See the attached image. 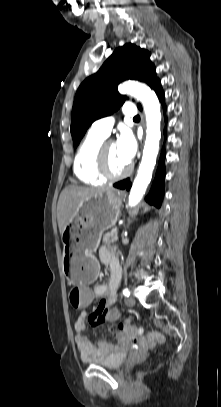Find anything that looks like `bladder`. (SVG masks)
<instances>
[{
	"label": "bladder",
	"mask_w": 221,
	"mask_h": 407,
	"mask_svg": "<svg viewBox=\"0 0 221 407\" xmlns=\"http://www.w3.org/2000/svg\"><path fill=\"white\" fill-rule=\"evenodd\" d=\"M126 360V354L122 352L114 351L110 355L88 361L89 364L99 367H104L107 369H118Z\"/></svg>",
	"instance_id": "bladder-1"
}]
</instances>
